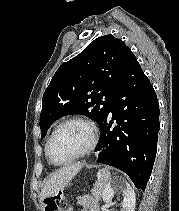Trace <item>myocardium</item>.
I'll use <instances>...</instances> for the list:
<instances>
[{
	"mask_svg": "<svg viewBox=\"0 0 179 211\" xmlns=\"http://www.w3.org/2000/svg\"><path fill=\"white\" fill-rule=\"evenodd\" d=\"M82 123L85 126L88 127L89 132H90V141L89 144L87 145V147L81 151L80 153H78L76 156H74L73 158L64 161V162H57L55 161L52 156H51V152H50V147H51V143L56 135V133L65 125L69 124V123ZM98 143V130L97 127L95 125V123L86 118V117H82V116H73V117H69L63 121H61L52 131V133L50 134L47 142H46V146H45V154L47 157V160L50 164L54 165V166H65V165H69L85 156H87L88 154H90L96 147Z\"/></svg>",
	"mask_w": 179,
	"mask_h": 211,
	"instance_id": "obj_1",
	"label": "myocardium"
}]
</instances>
